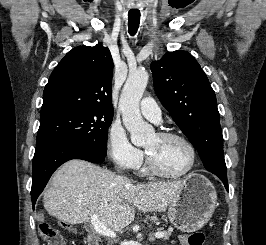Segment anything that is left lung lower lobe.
<instances>
[{"mask_svg": "<svg viewBox=\"0 0 266 245\" xmlns=\"http://www.w3.org/2000/svg\"><path fill=\"white\" fill-rule=\"evenodd\" d=\"M218 177L221 179V181L223 182L226 190L228 191L227 175H219Z\"/></svg>", "mask_w": 266, "mask_h": 245, "instance_id": "obj_1", "label": "left lung lower lobe"}]
</instances>
